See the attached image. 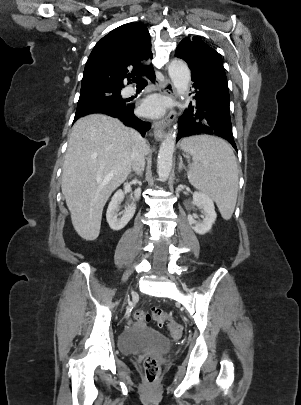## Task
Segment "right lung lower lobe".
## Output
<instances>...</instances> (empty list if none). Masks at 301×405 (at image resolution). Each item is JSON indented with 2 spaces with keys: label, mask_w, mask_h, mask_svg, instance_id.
Listing matches in <instances>:
<instances>
[{
  "label": "right lung lower lobe",
  "mask_w": 301,
  "mask_h": 405,
  "mask_svg": "<svg viewBox=\"0 0 301 405\" xmlns=\"http://www.w3.org/2000/svg\"><path fill=\"white\" fill-rule=\"evenodd\" d=\"M146 75L152 82H154L155 75H154L153 70H151ZM134 107L135 106L133 104H129L126 106H121V107H102V108H98L96 110L86 112L83 114H76L74 121L77 120L79 117H82V116L88 115V114H93V113L106 114L111 117H116V118L120 119L125 125L131 126L135 129H137L144 136L146 131L148 129H150L151 124L149 122H143L140 119H138L133 113Z\"/></svg>",
  "instance_id": "1"
}]
</instances>
